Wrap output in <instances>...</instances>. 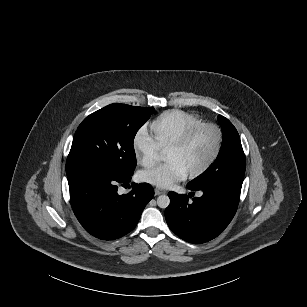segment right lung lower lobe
<instances>
[{
	"mask_svg": "<svg viewBox=\"0 0 307 307\" xmlns=\"http://www.w3.org/2000/svg\"><path fill=\"white\" fill-rule=\"evenodd\" d=\"M130 180L131 176L100 171L68 177L72 209L87 232L102 240H113L135 228L154 190L141 183L128 194L118 195V183Z\"/></svg>",
	"mask_w": 307,
	"mask_h": 307,
	"instance_id": "right-lung-lower-lobe-1",
	"label": "right lung lower lobe"
}]
</instances>
